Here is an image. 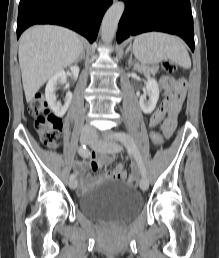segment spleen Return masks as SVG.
<instances>
[{
    "mask_svg": "<svg viewBox=\"0 0 219 258\" xmlns=\"http://www.w3.org/2000/svg\"><path fill=\"white\" fill-rule=\"evenodd\" d=\"M133 53L143 64H155L169 59L185 69L191 67V60L184 42L175 36L148 32L134 39Z\"/></svg>",
    "mask_w": 219,
    "mask_h": 258,
    "instance_id": "1",
    "label": "spleen"
}]
</instances>
